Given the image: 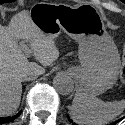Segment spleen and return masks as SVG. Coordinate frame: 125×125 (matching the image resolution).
Segmentation results:
<instances>
[{"mask_svg": "<svg viewBox=\"0 0 125 125\" xmlns=\"http://www.w3.org/2000/svg\"><path fill=\"white\" fill-rule=\"evenodd\" d=\"M124 109L125 100L104 102L77 92L70 108V115L79 125H105L120 115Z\"/></svg>", "mask_w": 125, "mask_h": 125, "instance_id": "obj_1", "label": "spleen"}]
</instances>
